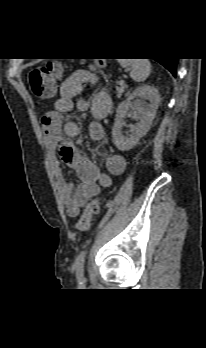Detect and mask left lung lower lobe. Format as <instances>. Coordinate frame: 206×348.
Masks as SVG:
<instances>
[{"label":"left lung lower lobe","mask_w":206,"mask_h":348,"mask_svg":"<svg viewBox=\"0 0 206 348\" xmlns=\"http://www.w3.org/2000/svg\"><path fill=\"white\" fill-rule=\"evenodd\" d=\"M160 64H162L166 69H168L174 77H176V65L178 62V58H163V59H155Z\"/></svg>","instance_id":"obj_1"}]
</instances>
